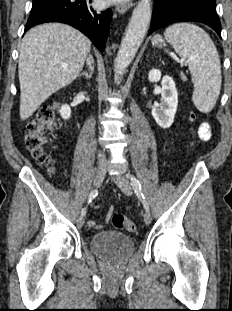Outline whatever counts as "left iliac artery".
<instances>
[{
    "label": "left iliac artery",
    "mask_w": 232,
    "mask_h": 311,
    "mask_svg": "<svg viewBox=\"0 0 232 311\" xmlns=\"http://www.w3.org/2000/svg\"><path fill=\"white\" fill-rule=\"evenodd\" d=\"M130 180H131V185L133 186L134 192L137 194L138 197H140L144 208L146 210H149V204L147 200L145 199L143 193L141 192L142 189H141L140 182L132 175L130 176Z\"/></svg>",
    "instance_id": "1"
}]
</instances>
